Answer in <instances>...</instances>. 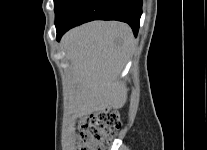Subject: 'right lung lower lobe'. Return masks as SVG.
Here are the masks:
<instances>
[{
  "label": "right lung lower lobe",
  "mask_w": 207,
  "mask_h": 150,
  "mask_svg": "<svg viewBox=\"0 0 207 150\" xmlns=\"http://www.w3.org/2000/svg\"><path fill=\"white\" fill-rule=\"evenodd\" d=\"M142 0H70L55 20L57 40L70 28L92 20H118L130 25L136 36Z\"/></svg>",
  "instance_id": "98d812e1"
}]
</instances>
